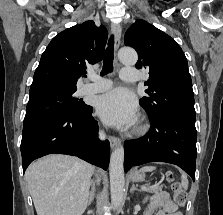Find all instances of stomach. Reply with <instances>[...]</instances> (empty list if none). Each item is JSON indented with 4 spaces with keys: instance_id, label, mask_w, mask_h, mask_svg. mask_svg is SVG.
<instances>
[{
    "instance_id": "obj_1",
    "label": "stomach",
    "mask_w": 223,
    "mask_h": 215,
    "mask_svg": "<svg viewBox=\"0 0 223 215\" xmlns=\"http://www.w3.org/2000/svg\"><path fill=\"white\" fill-rule=\"evenodd\" d=\"M131 177L132 181H144L145 179L143 171H133Z\"/></svg>"
}]
</instances>
